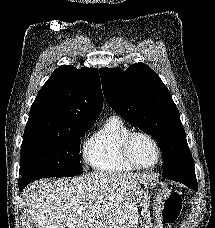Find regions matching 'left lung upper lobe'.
I'll return each instance as SVG.
<instances>
[{
    "mask_svg": "<svg viewBox=\"0 0 215 228\" xmlns=\"http://www.w3.org/2000/svg\"><path fill=\"white\" fill-rule=\"evenodd\" d=\"M100 76L108 104L157 141L163 177L195 171L179 111L160 77L141 62L126 71L101 68Z\"/></svg>",
    "mask_w": 215,
    "mask_h": 228,
    "instance_id": "left-lung-upper-lobe-1",
    "label": "left lung upper lobe"
}]
</instances>
